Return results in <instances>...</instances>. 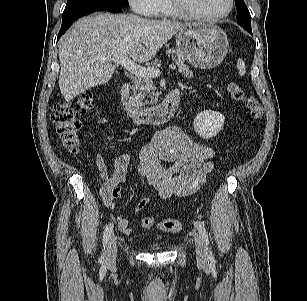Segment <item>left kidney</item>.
Returning <instances> with one entry per match:
<instances>
[{
    "label": "left kidney",
    "instance_id": "obj_1",
    "mask_svg": "<svg viewBox=\"0 0 307 301\" xmlns=\"http://www.w3.org/2000/svg\"><path fill=\"white\" fill-rule=\"evenodd\" d=\"M224 116L216 111L204 110L195 117L193 126L195 132L203 139L216 136L224 125Z\"/></svg>",
    "mask_w": 307,
    "mask_h": 301
}]
</instances>
